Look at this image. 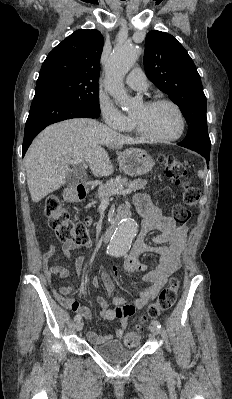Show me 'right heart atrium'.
I'll return each mask as SVG.
<instances>
[{
    "label": "right heart atrium",
    "mask_w": 232,
    "mask_h": 399,
    "mask_svg": "<svg viewBox=\"0 0 232 399\" xmlns=\"http://www.w3.org/2000/svg\"><path fill=\"white\" fill-rule=\"evenodd\" d=\"M100 112L106 125H113V131H121L130 124L127 117L111 106L101 105Z\"/></svg>",
    "instance_id": "right-heart-atrium-1"
}]
</instances>
